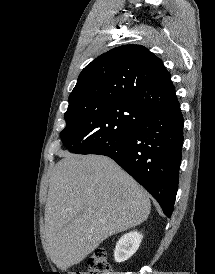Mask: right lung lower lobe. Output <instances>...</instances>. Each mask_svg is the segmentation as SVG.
I'll return each instance as SVG.
<instances>
[{"label": "right lung lower lobe", "instance_id": "98d812e1", "mask_svg": "<svg viewBox=\"0 0 215 274\" xmlns=\"http://www.w3.org/2000/svg\"><path fill=\"white\" fill-rule=\"evenodd\" d=\"M183 145L180 105L151 112L129 135L91 154L115 160L160 204L173 212Z\"/></svg>", "mask_w": 215, "mask_h": 274}]
</instances>
